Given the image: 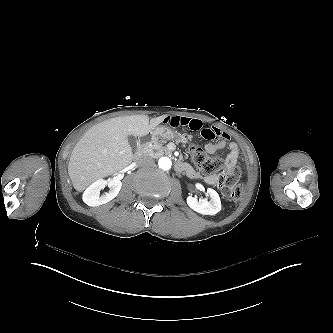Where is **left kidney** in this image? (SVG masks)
<instances>
[{"label": "left kidney", "instance_id": "left-kidney-1", "mask_svg": "<svg viewBox=\"0 0 333 333\" xmlns=\"http://www.w3.org/2000/svg\"><path fill=\"white\" fill-rule=\"evenodd\" d=\"M208 194L210 195V200L206 201L205 199L198 200L192 196L187 198L188 206L197 213L203 215H216L221 210V201L218 193L212 189H207Z\"/></svg>", "mask_w": 333, "mask_h": 333}]
</instances>
